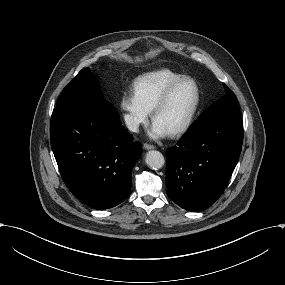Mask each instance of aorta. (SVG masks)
Segmentation results:
<instances>
[{"label":"aorta","mask_w":285,"mask_h":285,"mask_svg":"<svg viewBox=\"0 0 285 285\" xmlns=\"http://www.w3.org/2000/svg\"><path fill=\"white\" fill-rule=\"evenodd\" d=\"M145 162L150 168L158 170L163 167L165 160L162 153L152 150L146 154Z\"/></svg>","instance_id":"aorta-1"}]
</instances>
